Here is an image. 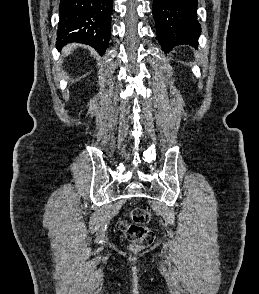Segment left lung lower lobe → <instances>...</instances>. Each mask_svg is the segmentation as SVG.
I'll list each match as a JSON object with an SVG mask.
<instances>
[{"instance_id":"left-lung-lower-lobe-1","label":"left lung lower lobe","mask_w":259,"mask_h":294,"mask_svg":"<svg viewBox=\"0 0 259 294\" xmlns=\"http://www.w3.org/2000/svg\"><path fill=\"white\" fill-rule=\"evenodd\" d=\"M196 8L197 0H153L157 37L166 52L180 44L198 45L201 27Z\"/></svg>"}]
</instances>
